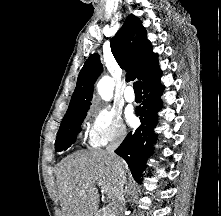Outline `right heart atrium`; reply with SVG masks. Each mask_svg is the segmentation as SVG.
Masks as SVG:
<instances>
[{"mask_svg":"<svg viewBox=\"0 0 221 216\" xmlns=\"http://www.w3.org/2000/svg\"><path fill=\"white\" fill-rule=\"evenodd\" d=\"M88 115L87 137L92 146L120 143L127 137V128L120 113L115 109L97 104L90 108Z\"/></svg>","mask_w":221,"mask_h":216,"instance_id":"d8ad5b80","label":"right heart atrium"}]
</instances>
